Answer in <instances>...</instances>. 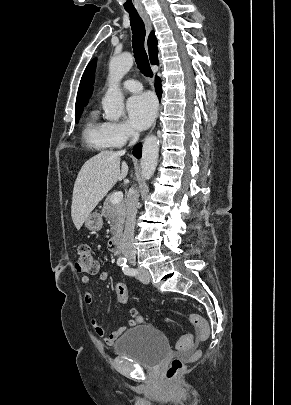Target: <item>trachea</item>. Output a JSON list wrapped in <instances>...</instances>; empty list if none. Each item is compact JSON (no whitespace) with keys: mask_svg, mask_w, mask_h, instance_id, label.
I'll use <instances>...</instances> for the list:
<instances>
[{"mask_svg":"<svg viewBox=\"0 0 291 405\" xmlns=\"http://www.w3.org/2000/svg\"><path fill=\"white\" fill-rule=\"evenodd\" d=\"M130 16V23L132 28V45L135 61L140 72L146 77H152L153 72L151 70L147 53L144 48L145 40V25L142 18L137 11H128Z\"/></svg>","mask_w":291,"mask_h":405,"instance_id":"1","label":"trachea"}]
</instances>
